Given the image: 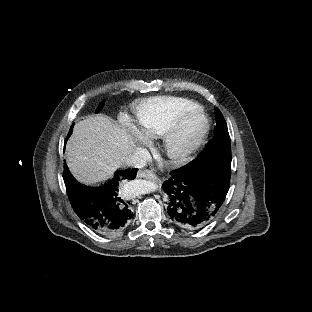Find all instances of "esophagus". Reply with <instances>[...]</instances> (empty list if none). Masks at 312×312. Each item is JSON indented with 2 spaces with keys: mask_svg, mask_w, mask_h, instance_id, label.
<instances>
[{
  "mask_svg": "<svg viewBox=\"0 0 312 312\" xmlns=\"http://www.w3.org/2000/svg\"><path fill=\"white\" fill-rule=\"evenodd\" d=\"M138 178L150 179L153 182H158L159 178L150 170H139L137 173Z\"/></svg>",
  "mask_w": 312,
  "mask_h": 312,
  "instance_id": "1",
  "label": "esophagus"
}]
</instances>
